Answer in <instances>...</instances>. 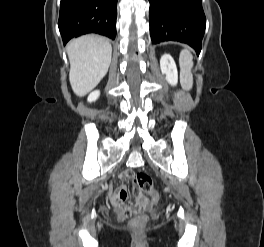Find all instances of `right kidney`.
<instances>
[{
  "mask_svg": "<svg viewBox=\"0 0 264 247\" xmlns=\"http://www.w3.org/2000/svg\"><path fill=\"white\" fill-rule=\"evenodd\" d=\"M99 96H100V91L99 90H95V91H93V92H91L89 94V96L87 98V101L90 102V103L94 102V101H96L99 98Z\"/></svg>",
  "mask_w": 264,
  "mask_h": 247,
  "instance_id": "right-kidney-1",
  "label": "right kidney"
}]
</instances>
